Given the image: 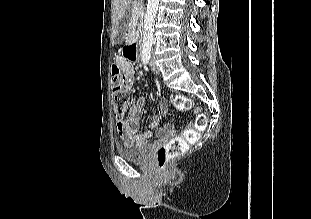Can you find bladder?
I'll return each instance as SVG.
<instances>
[{
    "mask_svg": "<svg viewBox=\"0 0 311 219\" xmlns=\"http://www.w3.org/2000/svg\"><path fill=\"white\" fill-rule=\"evenodd\" d=\"M116 151L118 155L125 160L142 162L149 155V147L141 146V147H126V146H117Z\"/></svg>",
    "mask_w": 311,
    "mask_h": 219,
    "instance_id": "31cf9c89",
    "label": "bladder"
}]
</instances>
